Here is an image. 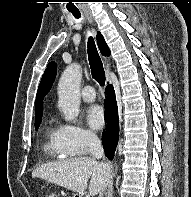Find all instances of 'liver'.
Instances as JSON below:
<instances>
[{"label": "liver", "instance_id": "liver-1", "mask_svg": "<svg viewBox=\"0 0 191 197\" xmlns=\"http://www.w3.org/2000/svg\"><path fill=\"white\" fill-rule=\"evenodd\" d=\"M112 167L92 157H76L43 164L32 172L33 177L45 179L82 196L87 189L95 196L107 186Z\"/></svg>", "mask_w": 191, "mask_h": 197}]
</instances>
